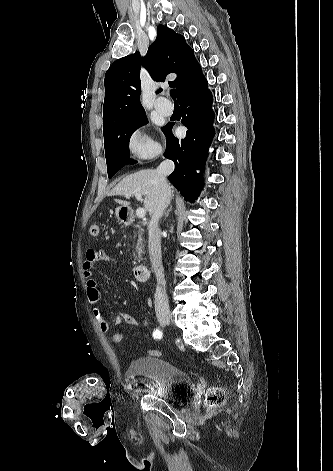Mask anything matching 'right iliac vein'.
I'll use <instances>...</instances> for the list:
<instances>
[{
    "label": "right iliac vein",
    "instance_id": "1",
    "mask_svg": "<svg viewBox=\"0 0 333 471\" xmlns=\"http://www.w3.org/2000/svg\"><path fill=\"white\" fill-rule=\"evenodd\" d=\"M159 321L164 325H168L171 323L172 318L170 315H161L159 316Z\"/></svg>",
    "mask_w": 333,
    "mask_h": 471
}]
</instances>
